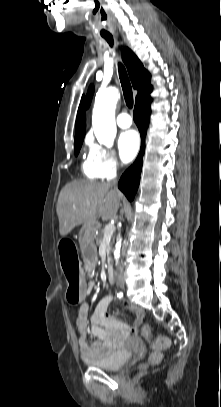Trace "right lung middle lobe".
Instances as JSON below:
<instances>
[{"label": "right lung middle lobe", "instance_id": "obj_1", "mask_svg": "<svg viewBox=\"0 0 221 407\" xmlns=\"http://www.w3.org/2000/svg\"><path fill=\"white\" fill-rule=\"evenodd\" d=\"M81 145H82V142L74 143L75 155H76V156H77L78 153H79V150H80V148H81Z\"/></svg>", "mask_w": 221, "mask_h": 407}]
</instances>
